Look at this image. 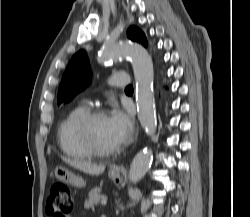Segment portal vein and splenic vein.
I'll return each mask as SVG.
<instances>
[{
  "instance_id": "18ae733b",
  "label": "portal vein and splenic vein",
  "mask_w": 250,
  "mask_h": 217,
  "mask_svg": "<svg viewBox=\"0 0 250 217\" xmlns=\"http://www.w3.org/2000/svg\"><path fill=\"white\" fill-rule=\"evenodd\" d=\"M106 203H107V199H106V198H103V199L101 200V205H106Z\"/></svg>"
}]
</instances>
